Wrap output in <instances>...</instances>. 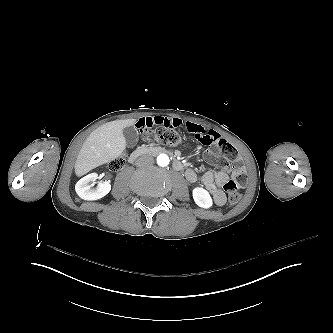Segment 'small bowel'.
I'll return each instance as SVG.
<instances>
[{"instance_id":"obj_1","label":"small bowel","mask_w":333,"mask_h":333,"mask_svg":"<svg viewBox=\"0 0 333 333\" xmlns=\"http://www.w3.org/2000/svg\"><path fill=\"white\" fill-rule=\"evenodd\" d=\"M181 124V120L178 118H165L160 116H151V117H145L141 118L137 121L136 125L138 128L142 130L149 129L153 126H163V127H177ZM187 128L191 131L197 133V134H203L205 133L204 130L195 124L187 123ZM207 134L211 136H216V133L213 131H209ZM227 148L229 149L231 146L227 144L226 146L223 144L222 146L219 144L218 146H215L213 149L217 151L220 148ZM213 151L210 152V154ZM237 160L240 158L238 155L235 157ZM214 163H216L218 160L214 158L212 160ZM185 177L189 182H197L200 181L204 187L208 190V192L211 194L214 203L217 206H222L226 203V195L224 192V186L225 184L230 180L229 174L226 171L223 170H209L206 171L203 175L199 176L194 170L188 169L185 172Z\"/></svg>"}]
</instances>
